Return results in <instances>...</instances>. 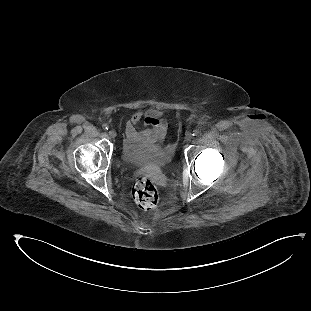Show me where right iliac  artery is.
I'll use <instances>...</instances> for the list:
<instances>
[{"label":"right iliac artery","instance_id":"obj_1","mask_svg":"<svg viewBox=\"0 0 311 311\" xmlns=\"http://www.w3.org/2000/svg\"><path fill=\"white\" fill-rule=\"evenodd\" d=\"M102 127H103L104 130H108V125L107 124H103Z\"/></svg>","mask_w":311,"mask_h":311}]
</instances>
